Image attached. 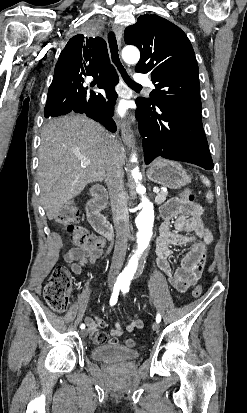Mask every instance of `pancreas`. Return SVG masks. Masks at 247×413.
I'll return each instance as SVG.
<instances>
[{"label":"pancreas","instance_id":"obj_1","mask_svg":"<svg viewBox=\"0 0 247 413\" xmlns=\"http://www.w3.org/2000/svg\"><path fill=\"white\" fill-rule=\"evenodd\" d=\"M167 194H168V192H163V190H161V192H157V194L155 196L156 204H162V202H164V200H166Z\"/></svg>","mask_w":247,"mask_h":413}]
</instances>
